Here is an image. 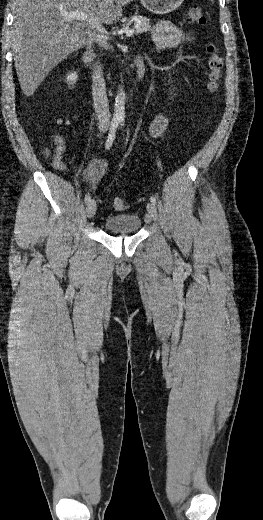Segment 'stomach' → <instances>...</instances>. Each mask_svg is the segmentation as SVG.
<instances>
[{
    "label": "stomach",
    "mask_w": 263,
    "mask_h": 520,
    "mask_svg": "<svg viewBox=\"0 0 263 520\" xmlns=\"http://www.w3.org/2000/svg\"><path fill=\"white\" fill-rule=\"evenodd\" d=\"M184 0H141L142 5L154 14H168L181 6Z\"/></svg>",
    "instance_id": "obj_1"
}]
</instances>
